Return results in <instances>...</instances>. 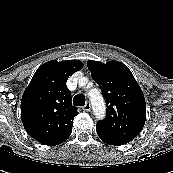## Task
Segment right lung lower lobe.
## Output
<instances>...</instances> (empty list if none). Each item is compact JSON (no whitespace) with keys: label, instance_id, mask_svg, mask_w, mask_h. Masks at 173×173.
<instances>
[{"label":"right lung lower lobe","instance_id":"1","mask_svg":"<svg viewBox=\"0 0 173 173\" xmlns=\"http://www.w3.org/2000/svg\"><path fill=\"white\" fill-rule=\"evenodd\" d=\"M69 136H70V135H69ZM69 136H68V137H69ZM68 137H67V138H68ZM67 138H66V139H67ZM66 139H64V140H63L62 142H60L59 144L63 143ZM57 145H58V144H57Z\"/></svg>","mask_w":173,"mask_h":173}]
</instances>
